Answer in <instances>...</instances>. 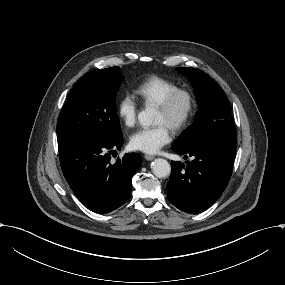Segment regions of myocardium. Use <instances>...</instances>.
<instances>
[{
	"label": "myocardium",
	"instance_id": "1",
	"mask_svg": "<svg viewBox=\"0 0 285 285\" xmlns=\"http://www.w3.org/2000/svg\"><path fill=\"white\" fill-rule=\"evenodd\" d=\"M181 95H184L186 97L187 103L184 111L172 119L170 127L173 130L181 129L188 123L191 116L193 115L196 107V96L193 90L188 87L178 86L170 91L166 97L156 105V107L161 111L171 113L173 111L176 100Z\"/></svg>",
	"mask_w": 285,
	"mask_h": 285
}]
</instances>
